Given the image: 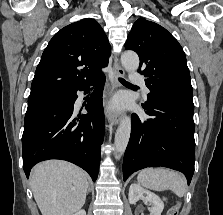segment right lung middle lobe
<instances>
[{
    "label": "right lung middle lobe",
    "mask_w": 223,
    "mask_h": 215,
    "mask_svg": "<svg viewBox=\"0 0 223 215\" xmlns=\"http://www.w3.org/2000/svg\"><path fill=\"white\" fill-rule=\"evenodd\" d=\"M72 95L73 93H60V92L30 94V96L28 97V109L61 101L70 98Z\"/></svg>",
    "instance_id": "1"
}]
</instances>
